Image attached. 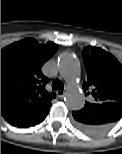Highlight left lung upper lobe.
<instances>
[{
  "mask_svg": "<svg viewBox=\"0 0 122 154\" xmlns=\"http://www.w3.org/2000/svg\"><path fill=\"white\" fill-rule=\"evenodd\" d=\"M82 57L87 72L83 89H93V102H122V65L118 60L105 50L91 46L83 49Z\"/></svg>",
  "mask_w": 122,
  "mask_h": 154,
  "instance_id": "left-lung-upper-lobe-1",
  "label": "left lung upper lobe"
}]
</instances>
